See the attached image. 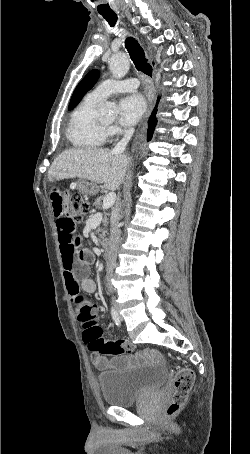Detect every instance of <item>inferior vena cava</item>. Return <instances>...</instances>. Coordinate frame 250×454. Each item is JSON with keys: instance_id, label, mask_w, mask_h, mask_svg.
<instances>
[{"instance_id": "1", "label": "inferior vena cava", "mask_w": 250, "mask_h": 454, "mask_svg": "<svg viewBox=\"0 0 250 454\" xmlns=\"http://www.w3.org/2000/svg\"><path fill=\"white\" fill-rule=\"evenodd\" d=\"M134 133V129L130 128L124 131V137L117 143L114 147L112 152L114 154H122L124 153L128 142L130 141L132 135ZM119 206H117L114 210V217L111 222L110 228V244L107 249V265H106V279L108 280L109 277L112 275L113 270L116 266V259H117V251L121 241V230L119 225L120 215H119ZM110 285V284H108ZM110 292H112V288L110 286ZM112 301L114 302V297H112Z\"/></svg>"}]
</instances>
